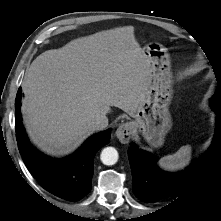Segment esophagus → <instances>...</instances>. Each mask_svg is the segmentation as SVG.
<instances>
[{
	"mask_svg": "<svg viewBox=\"0 0 221 221\" xmlns=\"http://www.w3.org/2000/svg\"><path fill=\"white\" fill-rule=\"evenodd\" d=\"M116 137L118 138V140L123 143V144H127L132 136V125L130 122L121 124L116 132H115Z\"/></svg>",
	"mask_w": 221,
	"mask_h": 221,
	"instance_id": "34e87169",
	"label": "esophagus"
}]
</instances>
